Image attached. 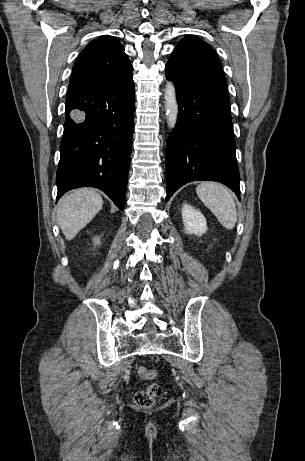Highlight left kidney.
I'll return each instance as SVG.
<instances>
[{"label":"left kidney","instance_id":"1","mask_svg":"<svg viewBox=\"0 0 305 461\" xmlns=\"http://www.w3.org/2000/svg\"><path fill=\"white\" fill-rule=\"evenodd\" d=\"M182 220L187 234L201 236L207 231V222L203 214L189 204L182 207Z\"/></svg>","mask_w":305,"mask_h":461}]
</instances>
